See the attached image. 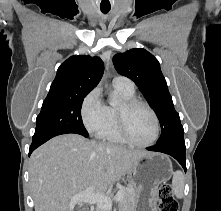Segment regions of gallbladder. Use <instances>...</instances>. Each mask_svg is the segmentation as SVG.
Instances as JSON below:
<instances>
[{"label":"gallbladder","mask_w":221,"mask_h":211,"mask_svg":"<svg viewBox=\"0 0 221 211\" xmlns=\"http://www.w3.org/2000/svg\"><path fill=\"white\" fill-rule=\"evenodd\" d=\"M76 211H86L85 209H78V210H76Z\"/></svg>","instance_id":"gallbladder-1"}]
</instances>
